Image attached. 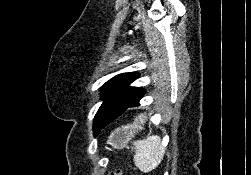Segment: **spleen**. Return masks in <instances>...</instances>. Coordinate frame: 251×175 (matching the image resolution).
<instances>
[{
  "label": "spleen",
  "instance_id": "1",
  "mask_svg": "<svg viewBox=\"0 0 251 175\" xmlns=\"http://www.w3.org/2000/svg\"><path fill=\"white\" fill-rule=\"evenodd\" d=\"M140 117H144V115H140ZM132 145L135 149L134 163L140 171L147 173V171L155 169L163 159L165 147H163L159 135H149L146 139H135L132 141Z\"/></svg>",
  "mask_w": 251,
  "mask_h": 175
}]
</instances>
